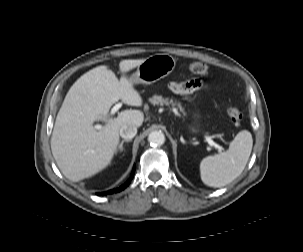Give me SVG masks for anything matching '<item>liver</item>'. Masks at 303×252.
<instances>
[{
	"label": "liver",
	"mask_w": 303,
	"mask_h": 252,
	"mask_svg": "<svg viewBox=\"0 0 303 252\" xmlns=\"http://www.w3.org/2000/svg\"><path fill=\"white\" fill-rule=\"evenodd\" d=\"M145 59H128L119 63L120 79L107 66L95 67L83 74L69 89L57 114L52 137L53 157L63 175L73 182L91 177L112 160L124 125L140 127L144 114L124 110L109 117L118 100L141 106L142 98L125 75ZM95 121L105 125L98 131Z\"/></svg>",
	"instance_id": "obj_1"
}]
</instances>
